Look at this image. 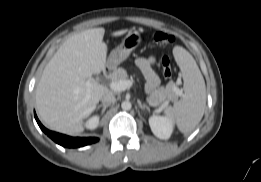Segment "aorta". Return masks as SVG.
<instances>
[{"mask_svg": "<svg viewBox=\"0 0 261 182\" xmlns=\"http://www.w3.org/2000/svg\"><path fill=\"white\" fill-rule=\"evenodd\" d=\"M132 107V104L130 101H123L122 104H121V108L125 111H128L130 110Z\"/></svg>", "mask_w": 261, "mask_h": 182, "instance_id": "762f6f07", "label": "aorta"}]
</instances>
